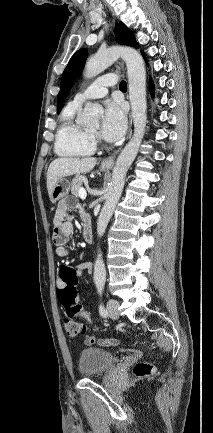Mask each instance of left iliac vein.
Here are the masks:
<instances>
[{
  "label": "left iliac vein",
  "mask_w": 213,
  "mask_h": 433,
  "mask_svg": "<svg viewBox=\"0 0 213 433\" xmlns=\"http://www.w3.org/2000/svg\"><path fill=\"white\" fill-rule=\"evenodd\" d=\"M118 306H119V303L117 302V300H114V299L108 300L107 311H108V315L110 318H112V319L118 318V316H119Z\"/></svg>",
  "instance_id": "left-iliac-vein-1"
}]
</instances>
